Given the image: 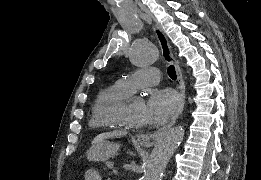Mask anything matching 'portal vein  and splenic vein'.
<instances>
[{
	"instance_id": "portal-vein-and-splenic-vein-1",
	"label": "portal vein and splenic vein",
	"mask_w": 261,
	"mask_h": 180,
	"mask_svg": "<svg viewBox=\"0 0 261 180\" xmlns=\"http://www.w3.org/2000/svg\"><path fill=\"white\" fill-rule=\"evenodd\" d=\"M112 174H113V175H119V170H113V171H112Z\"/></svg>"
}]
</instances>
